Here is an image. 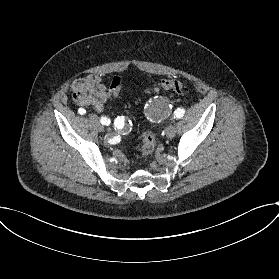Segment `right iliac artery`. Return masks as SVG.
I'll return each mask as SVG.
<instances>
[{
  "mask_svg": "<svg viewBox=\"0 0 279 279\" xmlns=\"http://www.w3.org/2000/svg\"><path fill=\"white\" fill-rule=\"evenodd\" d=\"M78 112L83 115L85 114L86 110L83 108H80L78 110ZM100 122L102 123V125H109L110 124V119H108L107 117H101ZM112 124L114 125V127L118 130H122L125 128L126 122L124 120L123 117H118L115 120L112 121Z\"/></svg>",
  "mask_w": 279,
  "mask_h": 279,
  "instance_id": "82829eb1",
  "label": "right iliac artery"
}]
</instances>
